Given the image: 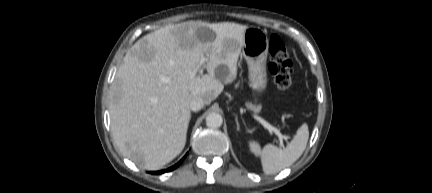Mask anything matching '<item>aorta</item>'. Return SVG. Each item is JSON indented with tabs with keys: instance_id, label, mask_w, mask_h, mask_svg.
<instances>
[{
	"instance_id": "obj_1",
	"label": "aorta",
	"mask_w": 432,
	"mask_h": 193,
	"mask_svg": "<svg viewBox=\"0 0 432 193\" xmlns=\"http://www.w3.org/2000/svg\"><path fill=\"white\" fill-rule=\"evenodd\" d=\"M222 123L223 118L219 113L211 112L206 116V125L210 128H218Z\"/></svg>"
}]
</instances>
